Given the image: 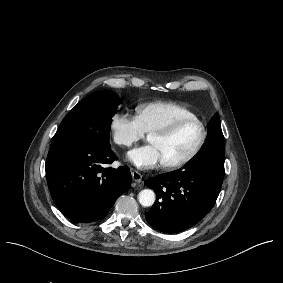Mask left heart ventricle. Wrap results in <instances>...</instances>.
Returning a JSON list of instances; mask_svg holds the SVG:
<instances>
[{
  "mask_svg": "<svg viewBox=\"0 0 283 283\" xmlns=\"http://www.w3.org/2000/svg\"><path fill=\"white\" fill-rule=\"evenodd\" d=\"M199 137L200 126L195 122H187L182 124L172 137L164 139L150 136L149 141L160 148L165 163H176L188 156Z\"/></svg>",
  "mask_w": 283,
  "mask_h": 283,
  "instance_id": "b2bd125f",
  "label": "left heart ventricle"
}]
</instances>
